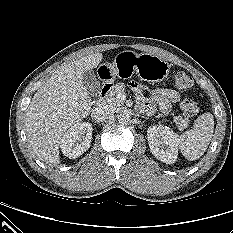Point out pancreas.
<instances>
[{
  "label": "pancreas",
  "mask_w": 233,
  "mask_h": 233,
  "mask_svg": "<svg viewBox=\"0 0 233 233\" xmlns=\"http://www.w3.org/2000/svg\"><path fill=\"white\" fill-rule=\"evenodd\" d=\"M125 86L122 83L115 84L106 96V101L111 107H120L123 104V100L120 95L124 93ZM179 130L185 129L189 124V119L182 116H175L173 118Z\"/></svg>",
  "instance_id": "pancreas-1"
}]
</instances>
